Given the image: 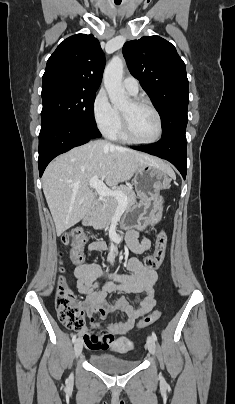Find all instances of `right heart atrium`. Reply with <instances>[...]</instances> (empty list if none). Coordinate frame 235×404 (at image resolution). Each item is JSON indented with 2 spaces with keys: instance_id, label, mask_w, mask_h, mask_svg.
Returning <instances> with one entry per match:
<instances>
[{
  "instance_id": "right-heart-atrium-1",
  "label": "right heart atrium",
  "mask_w": 235,
  "mask_h": 404,
  "mask_svg": "<svg viewBox=\"0 0 235 404\" xmlns=\"http://www.w3.org/2000/svg\"><path fill=\"white\" fill-rule=\"evenodd\" d=\"M92 114L99 130L105 134H111L116 128L120 115L111 105L104 90H99L92 103Z\"/></svg>"
}]
</instances>
